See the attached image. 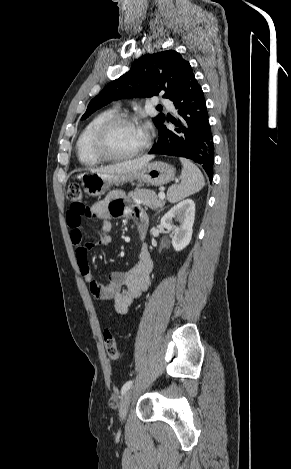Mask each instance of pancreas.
I'll return each mask as SVG.
<instances>
[{"label":"pancreas","mask_w":291,"mask_h":469,"mask_svg":"<svg viewBox=\"0 0 291 469\" xmlns=\"http://www.w3.org/2000/svg\"><path fill=\"white\" fill-rule=\"evenodd\" d=\"M128 198L133 202L148 206L154 210H159L165 205V201L158 199L155 192L149 189L136 188L128 193Z\"/></svg>","instance_id":"obj_1"}]
</instances>
